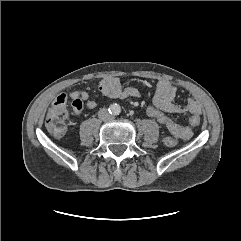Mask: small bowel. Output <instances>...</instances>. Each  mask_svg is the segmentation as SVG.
<instances>
[{
    "mask_svg": "<svg viewBox=\"0 0 241 241\" xmlns=\"http://www.w3.org/2000/svg\"><path fill=\"white\" fill-rule=\"evenodd\" d=\"M100 92L108 98H128L140 97V91L131 86H123L116 77L103 78L99 83ZM70 97L74 100H80L87 109H94L96 102L89 98L86 91H73ZM176 96V86L170 81H159L156 85L153 103L156 107L168 114L190 113L200 116L202 109L200 104L193 98H189L185 106L174 102Z\"/></svg>",
    "mask_w": 241,
    "mask_h": 241,
    "instance_id": "c3829d8e",
    "label": "small bowel"
}]
</instances>
